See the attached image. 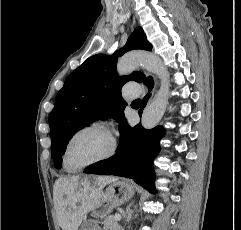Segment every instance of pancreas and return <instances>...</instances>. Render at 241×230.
<instances>
[{
	"label": "pancreas",
	"mask_w": 241,
	"mask_h": 230,
	"mask_svg": "<svg viewBox=\"0 0 241 230\" xmlns=\"http://www.w3.org/2000/svg\"><path fill=\"white\" fill-rule=\"evenodd\" d=\"M120 226L114 216H109L103 221V230H119Z\"/></svg>",
	"instance_id": "1"
}]
</instances>
